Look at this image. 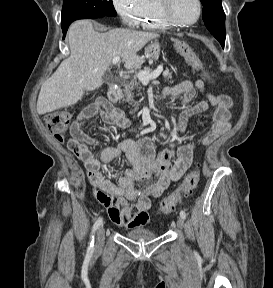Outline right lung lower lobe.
<instances>
[{
    "instance_id": "right-lung-lower-lobe-1",
    "label": "right lung lower lobe",
    "mask_w": 273,
    "mask_h": 288,
    "mask_svg": "<svg viewBox=\"0 0 273 288\" xmlns=\"http://www.w3.org/2000/svg\"><path fill=\"white\" fill-rule=\"evenodd\" d=\"M68 27H69V26L62 27V31H63L64 37H65V35H66V32H67V30H68ZM64 37H63V38H64Z\"/></svg>"
}]
</instances>
